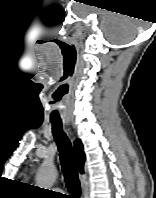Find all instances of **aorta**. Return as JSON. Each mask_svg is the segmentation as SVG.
<instances>
[{
  "label": "aorta",
  "mask_w": 156,
  "mask_h": 198,
  "mask_svg": "<svg viewBox=\"0 0 156 198\" xmlns=\"http://www.w3.org/2000/svg\"><path fill=\"white\" fill-rule=\"evenodd\" d=\"M56 179V167L50 162L43 163L36 176L37 186L45 189L51 188L55 183Z\"/></svg>",
  "instance_id": "aorta-1"
}]
</instances>
